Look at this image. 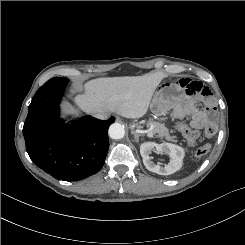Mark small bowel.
I'll use <instances>...</instances> for the list:
<instances>
[{"label": "small bowel", "mask_w": 245, "mask_h": 245, "mask_svg": "<svg viewBox=\"0 0 245 245\" xmlns=\"http://www.w3.org/2000/svg\"><path fill=\"white\" fill-rule=\"evenodd\" d=\"M176 85L179 90L185 91L187 96L193 97L198 95L199 99L204 102L212 99V90L196 80L182 76L177 79ZM214 115L211 108H207V110H195L191 122L192 127L195 129L201 128Z\"/></svg>", "instance_id": "small-bowel-1"}]
</instances>
